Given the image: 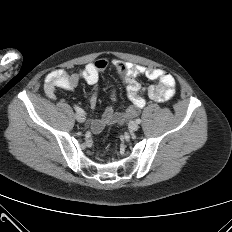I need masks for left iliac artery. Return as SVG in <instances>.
Returning <instances> with one entry per match:
<instances>
[{
    "instance_id": "44dca946",
    "label": "left iliac artery",
    "mask_w": 232,
    "mask_h": 232,
    "mask_svg": "<svg viewBox=\"0 0 232 232\" xmlns=\"http://www.w3.org/2000/svg\"><path fill=\"white\" fill-rule=\"evenodd\" d=\"M136 122L138 123V124H140L141 123V119H136Z\"/></svg>"
}]
</instances>
